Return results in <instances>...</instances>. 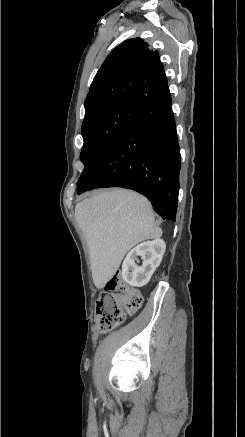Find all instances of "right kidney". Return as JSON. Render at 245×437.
I'll list each match as a JSON object with an SVG mask.
<instances>
[{
    "label": "right kidney",
    "instance_id": "1",
    "mask_svg": "<svg viewBox=\"0 0 245 437\" xmlns=\"http://www.w3.org/2000/svg\"><path fill=\"white\" fill-rule=\"evenodd\" d=\"M166 244L161 239L139 244L127 254L122 264V278L129 285L142 287L146 285L156 268L160 265ZM141 257L142 265L136 264Z\"/></svg>",
    "mask_w": 245,
    "mask_h": 437
}]
</instances>
